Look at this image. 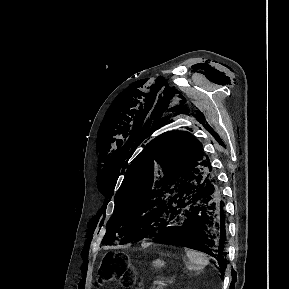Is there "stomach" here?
<instances>
[{"mask_svg": "<svg viewBox=\"0 0 289 289\" xmlns=\"http://www.w3.org/2000/svg\"><path fill=\"white\" fill-rule=\"evenodd\" d=\"M153 267L160 269L165 266V262L161 259H156L152 262Z\"/></svg>", "mask_w": 289, "mask_h": 289, "instance_id": "1", "label": "stomach"}]
</instances>
